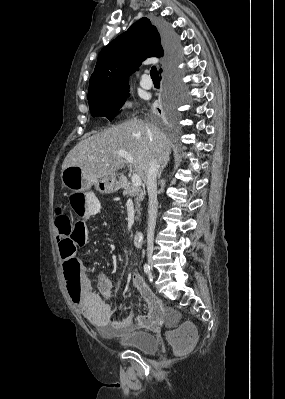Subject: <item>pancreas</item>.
<instances>
[{"label": "pancreas", "mask_w": 285, "mask_h": 399, "mask_svg": "<svg viewBox=\"0 0 285 399\" xmlns=\"http://www.w3.org/2000/svg\"><path fill=\"white\" fill-rule=\"evenodd\" d=\"M124 191H123V195H127L130 196L132 198H134V203H135V211L136 213L139 215L140 214V207H141V202L144 200L145 198V192L141 187H135L130 183H126L124 186ZM136 219H139V217L137 216Z\"/></svg>", "instance_id": "1"}]
</instances>
